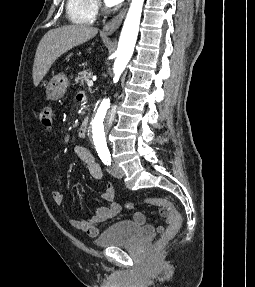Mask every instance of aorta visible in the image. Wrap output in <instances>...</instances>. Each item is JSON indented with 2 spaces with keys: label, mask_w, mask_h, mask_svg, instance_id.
Returning <instances> with one entry per match:
<instances>
[{
  "label": "aorta",
  "mask_w": 255,
  "mask_h": 287,
  "mask_svg": "<svg viewBox=\"0 0 255 287\" xmlns=\"http://www.w3.org/2000/svg\"><path fill=\"white\" fill-rule=\"evenodd\" d=\"M144 0H132L121 31L116 60L113 66L115 78H119L129 62L138 36L142 7ZM110 99L104 98L95 108L91 123L88 128V136L96 147L106 145L108 112Z\"/></svg>",
  "instance_id": "aorta-1"
}]
</instances>
